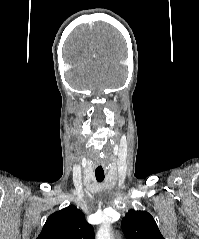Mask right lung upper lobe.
Here are the masks:
<instances>
[{
    "label": "right lung upper lobe",
    "instance_id": "1",
    "mask_svg": "<svg viewBox=\"0 0 199 239\" xmlns=\"http://www.w3.org/2000/svg\"><path fill=\"white\" fill-rule=\"evenodd\" d=\"M37 239H94L85 215L70 205L50 215Z\"/></svg>",
    "mask_w": 199,
    "mask_h": 239
}]
</instances>
